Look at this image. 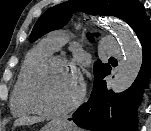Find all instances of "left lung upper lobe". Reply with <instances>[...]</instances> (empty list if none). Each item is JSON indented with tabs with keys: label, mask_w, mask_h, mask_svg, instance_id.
<instances>
[{
	"label": "left lung upper lobe",
	"mask_w": 151,
	"mask_h": 131,
	"mask_svg": "<svg viewBox=\"0 0 151 131\" xmlns=\"http://www.w3.org/2000/svg\"><path fill=\"white\" fill-rule=\"evenodd\" d=\"M142 6L138 0H69L48 9L38 19L29 36V41L33 42L52 30L62 28L77 11L92 15L115 16L131 25ZM88 36L93 40L91 34ZM108 67L109 64H103L98 60L94 64V79Z\"/></svg>",
	"instance_id": "1"
}]
</instances>
